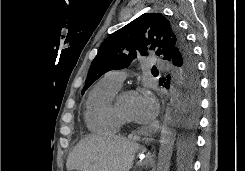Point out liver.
Listing matches in <instances>:
<instances>
[{"label":"liver","mask_w":245,"mask_h":171,"mask_svg":"<svg viewBox=\"0 0 245 171\" xmlns=\"http://www.w3.org/2000/svg\"><path fill=\"white\" fill-rule=\"evenodd\" d=\"M139 148L121 136H88L69 154L66 167L68 171H129Z\"/></svg>","instance_id":"6515ba94"}]
</instances>
